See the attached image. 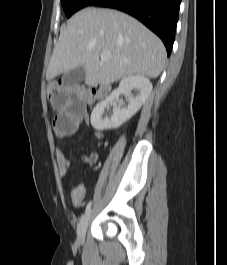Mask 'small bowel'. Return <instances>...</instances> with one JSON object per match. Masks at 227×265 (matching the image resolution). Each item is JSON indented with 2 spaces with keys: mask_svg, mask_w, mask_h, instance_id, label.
Masks as SVG:
<instances>
[{
  "mask_svg": "<svg viewBox=\"0 0 227 265\" xmlns=\"http://www.w3.org/2000/svg\"><path fill=\"white\" fill-rule=\"evenodd\" d=\"M83 91L79 87H56L55 96L52 101L57 113L53 119V129L59 138H65L73 135L78 130L81 123H90L87 113L86 99ZM104 136L101 130L94 132V137L98 140ZM98 155L95 152L83 155L84 163L92 165L97 162ZM57 163L59 174L65 177L68 174L70 163L66 155L60 151L57 154ZM85 187L82 184H76L71 190V201L74 207L82 206L85 198Z\"/></svg>",
  "mask_w": 227,
  "mask_h": 265,
  "instance_id": "1",
  "label": "small bowel"
}]
</instances>
